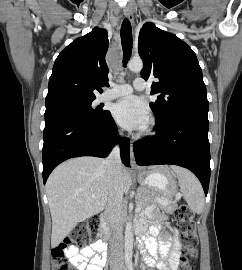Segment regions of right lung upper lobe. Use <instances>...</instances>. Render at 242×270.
I'll list each match as a JSON object with an SVG mask.
<instances>
[{
	"label": "right lung upper lobe",
	"instance_id": "cb5924a9",
	"mask_svg": "<svg viewBox=\"0 0 242 270\" xmlns=\"http://www.w3.org/2000/svg\"><path fill=\"white\" fill-rule=\"evenodd\" d=\"M108 45L107 31L98 27L69 44L55 60L45 105L95 99L108 86Z\"/></svg>",
	"mask_w": 242,
	"mask_h": 270
}]
</instances>
